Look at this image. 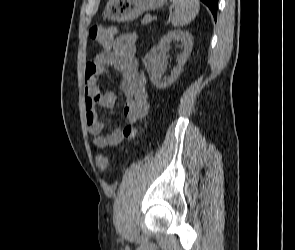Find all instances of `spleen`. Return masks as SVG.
<instances>
[{"label":"spleen","instance_id":"3e777b00","mask_svg":"<svg viewBox=\"0 0 295 250\" xmlns=\"http://www.w3.org/2000/svg\"><path fill=\"white\" fill-rule=\"evenodd\" d=\"M175 11L171 18L174 27L184 26L190 23L198 14L200 4L198 0H170Z\"/></svg>","mask_w":295,"mask_h":250}]
</instances>
